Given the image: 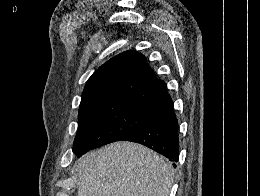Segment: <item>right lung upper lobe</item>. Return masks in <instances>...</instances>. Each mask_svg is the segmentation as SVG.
<instances>
[{
    "label": "right lung upper lobe",
    "instance_id": "right-lung-upper-lobe-1",
    "mask_svg": "<svg viewBox=\"0 0 260 196\" xmlns=\"http://www.w3.org/2000/svg\"><path fill=\"white\" fill-rule=\"evenodd\" d=\"M166 93V84L155 77L145 56L126 51L93 73L82 93L80 106L124 102L144 107Z\"/></svg>",
    "mask_w": 260,
    "mask_h": 196
}]
</instances>
